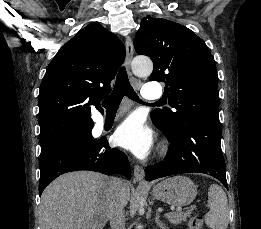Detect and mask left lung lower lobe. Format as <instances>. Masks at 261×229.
Instances as JSON below:
<instances>
[{
  "instance_id": "obj_1",
  "label": "left lung lower lobe",
  "mask_w": 261,
  "mask_h": 229,
  "mask_svg": "<svg viewBox=\"0 0 261 229\" xmlns=\"http://www.w3.org/2000/svg\"><path fill=\"white\" fill-rule=\"evenodd\" d=\"M165 136L171 143L168 155L164 161L146 167V180L200 172L217 178L228 189L220 125L193 119L185 123L177 136Z\"/></svg>"
}]
</instances>
